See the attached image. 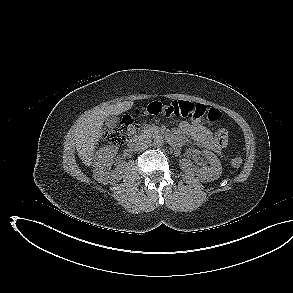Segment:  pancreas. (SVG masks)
<instances>
[{
	"label": "pancreas",
	"mask_w": 293,
	"mask_h": 293,
	"mask_svg": "<svg viewBox=\"0 0 293 293\" xmlns=\"http://www.w3.org/2000/svg\"><path fill=\"white\" fill-rule=\"evenodd\" d=\"M143 132L148 135H157L160 132V129L155 125H147L144 127Z\"/></svg>",
	"instance_id": "pancreas-1"
}]
</instances>
